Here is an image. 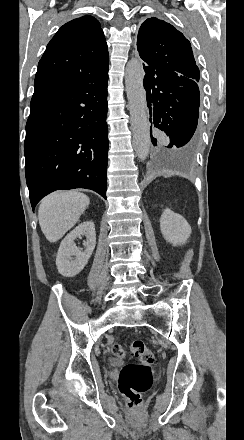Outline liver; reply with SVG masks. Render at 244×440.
Masks as SVG:
<instances>
[{"mask_svg":"<svg viewBox=\"0 0 244 440\" xmlns=\"http://www.w3.org/2000/svg\"><path fill=\"white\" fill-rule=\"evenodd\" d=\"M90 200L81 192H53L41 200L38 210L40 228L48 242H58L79 222Z\"/></svg>","mask_w":244,"mask_h":440,"instance_id":"liver-1","label":"liver"}]
</instances>
